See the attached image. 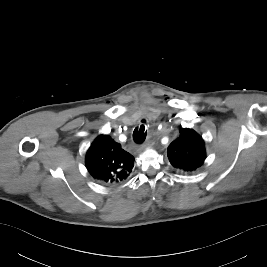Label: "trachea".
<instances>
[{"instance_id": "trachea-1", "label": "trachea", "mask_w": 267, "mask_h": 267, "mask_svg": "<svg viewBox=\"0 0 267 267\" xmlns=\"http://www.w3.org/2000/svg\"><path fill=\"white\" fill-rule=\"evenodd\" d=\"M143 124L140 125V127L135 128L134 132H133V140L137 143V144H141L145 141L146 139V131H145V125L144 123H146L145 120L141 121Z\"/></svg>"}]
</instances>
